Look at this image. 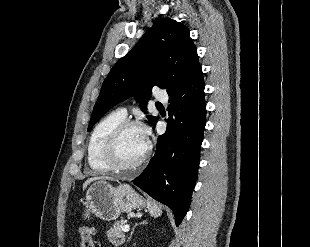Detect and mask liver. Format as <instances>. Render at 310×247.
I'll use <instances>...</instances> for the list:
<instances>
[{
    "instance_id": "liver-1",
    "label": "liver",
    "mask_w": 310,
    "mask_h": 247,
    "mask_svg": "<svg viewBox=\"0 0 310 247\" xmlns=\"http://www.w3.org/2000/svg\"><path fill=\"white\" fill-rule=\"evenodd\" d=\"M96 180H113V178L104 177V176L89 178L83 183V189H85L91 182H94Z\"/></svg>"
}]
</instances>
